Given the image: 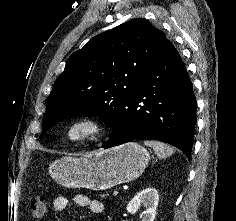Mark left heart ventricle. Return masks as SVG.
Masks as SVG:
<instances>
[{"label":"left heart ventricle","instance_id":"1","mask_svg":"<svg viewBox=\"0 0 236 221\" xmlns=\"http://www.w3.org/2000/svg\"><path fill=\"white\" fill-rule=\"evenodd\" d=\"M81 133V131H77V132H75V134H80Z\"/></svg>","mask_w":236,"mask_h":221}]
</instances>
